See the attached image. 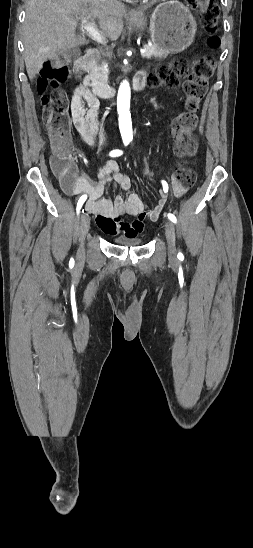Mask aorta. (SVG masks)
Masks as SVG:
<instances>
[{
  "label": "aorta",
  "instance_id": "aorta-1",
  "mask_svg": "<svg viewBox=\"0 0 253 548\" xmlns=\"http://www.w3.org/2000/svg\"><path fill=\"white\" fill-rule=\"evenodd\" d=\"M130 85L128 81H123L118 90L117 107L119 113V126L121 135L125 139L132 138V128L130 121Z\"/></svg>",
  "mask_w": 253,
  "mask_h": 548
}]
</instances>
